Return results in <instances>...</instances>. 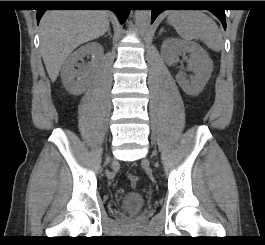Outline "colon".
I'll return each mask as SVG.
<instances>
[{"instance_id":"colon-1","label":"colon","mask_w":265,"mask_h":245,"mask_svg":"<svg viewBox=\"0 0 265 245\" xmlns=\"http://www.w3.org/2000/svg\"><path fill=\"white\" fill-rule=\"evenodd\" d=\"M128 178H129L130 184H131L132 186H135V185L137 184L138 180H139L138 176L135 175V174H131V175H129Z\"/></svg>"}]
</instances>
